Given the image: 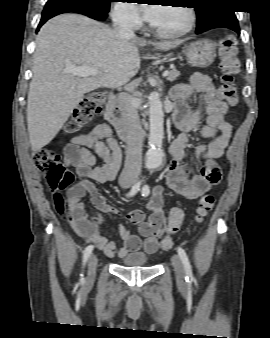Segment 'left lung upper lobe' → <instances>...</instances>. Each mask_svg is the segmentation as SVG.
Segmentation results:
<instances>
[{"instance_id": "obj_1", "label": "left lung upper lobe", "mask_w": 270, "mask_h": 338, "mask_svg": "<svg viewBox=\"0 0 270 338\" xmlns=\"http://www.w3.org/2000/svg\"><path fill=\"white\" fill-rule=\"evenodd\" d=\"M229 0H196L199 4L195 7L197 14L196 32L201 33L210 25L226 16L235 15L234 11L227 7Z\"/></svg>"}]
</instances>
